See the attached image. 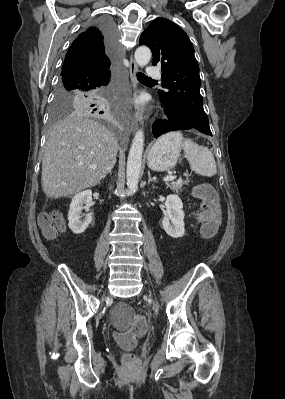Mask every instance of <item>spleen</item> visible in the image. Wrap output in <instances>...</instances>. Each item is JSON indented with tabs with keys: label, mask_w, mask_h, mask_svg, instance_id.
Masks as SVG:
<instances>
[{
	"label": "spleen",
	"mask_w": 285,
	"mask_h": 399,
	"mask_svg": "<svg viewBox=\"0 0 285 399\" xmlns=\"http://www.w3.org/2000/svg\"><path fill=\"white\" fill-rule=\"evenodd\" d=\"M184 157L188 160L190 168L202 176L211 177L217 173L213 153L205 146H200L186 139L183 143Z\"/></svg>",
	"instance_id": "spleen-1"
}]
</instances>
